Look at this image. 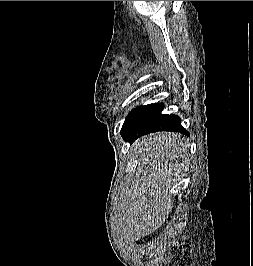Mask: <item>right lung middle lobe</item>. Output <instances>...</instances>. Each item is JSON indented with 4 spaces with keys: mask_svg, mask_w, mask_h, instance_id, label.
I'll use <instances>...</instances> for the list:
<instances>
[{
    "mask_svg": "<svg viewBox=\"0 0 253 266\" xmlns=\"http://www.w3.org/2000/svg\"><path fill=\"white\" fill-rule=\"evenodd\" d=\"M163 108L162 103L139 106L127 116L124 125L130 129L156 125L166 116L161 113Z\"/></svg>",
    "mask_w": 253,
    "mask_h": 266,
    "instance_id": "obj_1",
    "label": "right lung middle lobe"
}]
</instances>
